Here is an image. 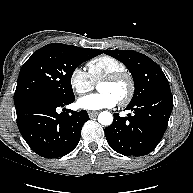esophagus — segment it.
Returning a JSON list of instances; mask_svg holds the SVG:
<instances>
[{"label":"esophagus","instance_id":"obj_1","mask_svg":"<svg viewBox=\"0 0 193 193\" xmlns=\"http://www.w3.org/2000/svg\"><path fill=\"white\" fill-rule=\"evenodd\" d=\"M90 118H94L98 115V112L90 111L88 112Z\"/></svg>","mask_w":193,"mask_h":193}]
</instances>
